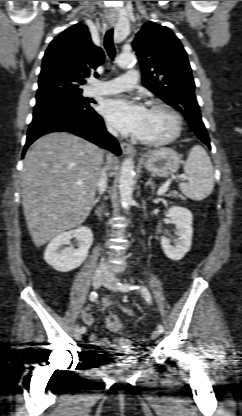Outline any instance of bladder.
I'll return each mask as SVG.
<instances>
[{
	"mask_svg": "<svg viewBox=\"0 0 242 416\" xmlns=\"http://www.w3.org/2000/svg\"><path fill=\"white\" fill-rule=\"evenodd\" d=\"M112 368L113 369H116V370H119L121 368H125V366H122V365H113Z\"/></svg>",
	"mask_w": 242,
	"mask_h": 416,
	"instance_id": "31cf9c89",
	"label": "bladder"
}]
</instances>
